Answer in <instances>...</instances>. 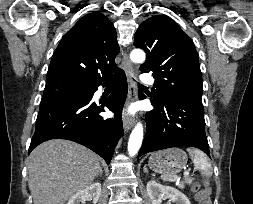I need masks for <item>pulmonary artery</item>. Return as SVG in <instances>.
<instances>
[{
  "label": "pulmonary artery",
  "instance_id": "pulmonary-artery-1",
  "mask_svg": "<svg viewBox=\"0 0 253 204\" xmlns=\"http://www.w3.org/2000/svg\"><path fill=\"white\" fill-rule=\"evenodd\" d=\"M141 81L145 85H152L154 83V77L150 74H143L141 77Z\"/></svg>",
  "mask_w": 253,
  "mask_h": 204
}]
</instances>
